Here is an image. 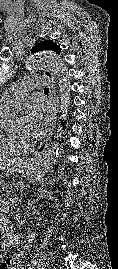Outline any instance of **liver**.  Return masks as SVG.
I'll return each instance as SVG.
<instances>
[{
	"mask_svg": "<svg viewBox=\"0 0 118 269\" xmlns=\"http://www.w3.org/2000/svg\"><path fill=\"white\" fill-rule=\"evenodd\" d=\"M20 164H26L28 165L27 163H23L21 160L17 161V160H6V159H2L0 158V169H3V170H6V169H9L14 167V166H17V165H20Z\"/></svg>",
	"mask_w": 118,
	"mask_h": 269,
	"instance_id": "6515ba94",
	"label": "liver"
}]
</instances>
